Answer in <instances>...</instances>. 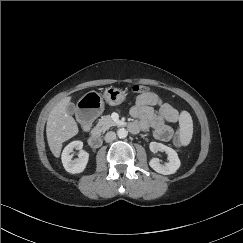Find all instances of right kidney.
<instances>
[{
  "label": "right kidney",
  "instance_id": "right-kidney-1",
  "mask_svg": "<svg viewBox=\"0 0 243 243\" xmlns=\"http://www.w3.org/2000/svg\"><path fill=\"white\" fill-rule=\"evenodd\" d=\"M83 142L82 141H73L69 143L62 152V163L65 170L72 174L81 173L87 166L89 160V154L82 150ZM73 149L80 150L78 159L72 160L71 152Z\"/></svg>",
  "mask_w": 243,
  "mask_h": 243
}]
</instances>
